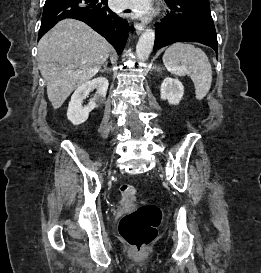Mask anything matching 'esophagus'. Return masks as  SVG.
Returning a JSON list of instances; mask_svg holds the SVG:
<instances>
[{"label": "esophagus", "instance_id": "obj_1", "mask_svg": "<svg viewBox=\"0 0 261 273\" xmlns=\"http://www.w3.org/2000/svg\"><path fill=\"white\" fill-rule=\"evenodd\" d=\"M134 27H135L137 34H140L144 30L145 24L135 23Z\"/></svg>", "mask_w": 261, "mask_h": 273}]
</instances>
